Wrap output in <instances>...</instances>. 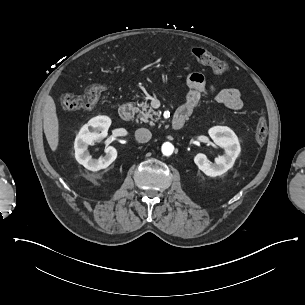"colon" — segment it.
<instances>
[{"mask_svg": "<svg viewBox=\"0 0 305 305\" xmlns=\"http://www.w3.org/2000/svg\"><path fill=\"white\" fill-rule=\"evenodd\" d=\"M195 59L209 66L216 74H224L228 67L227 64L215 58L206 48L195 47L193 49ZM107 87L104 83L95 82L86 86L81 96L73 94H64L61 97V104L67 110L91 109L100 99L101 95L106 91ZM268 133L266 117L261 114L256 122L255 141L259 146L265 143Z\"/></svg>", "mask_w": 305, "mask_h": 305, "instance_id": "colon-1", "label": "colon"}]
</instances>
